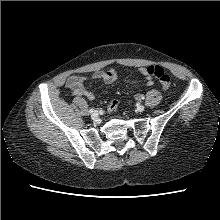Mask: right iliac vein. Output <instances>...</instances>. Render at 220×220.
<instances>
[{
	"label": "right iliac vein",
	"instance_id": "63e3f726",
	"mask_svg": "<svg viewBox=\"0 0 220 220\" xmlns=\"http://www.w3.org/2000/svg\"><path fill=\"white\" fill-rule=\"evenodd\" d=\"M99 116V113L97 111H94L92 114H91V118L92 119H97Z\"/></svg>",
	"mask_w": 220,
	"mask_h": 220
}]
</instances>
